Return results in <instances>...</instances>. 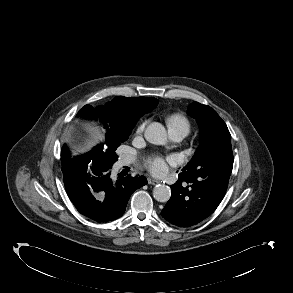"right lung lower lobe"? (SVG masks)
<instances>
[{"label":"right lung lower lobe","instance_id":"1","mask_svg":"<svg viewBox=\"0 0 293 293\" xmlns=\"http://www.w3.org/2000/svg\"><path fill=\"white\" fill-rule=\"evenodd\" d=\"M113 164L100 155L88 156L73 171L64 174L67 194L76 209L97 222L112 221L120 217L131 194L147 184L144 176L129 175L113 180Z\"/></svg>","mask_w":293,"mask_h":293}]
</instances>
